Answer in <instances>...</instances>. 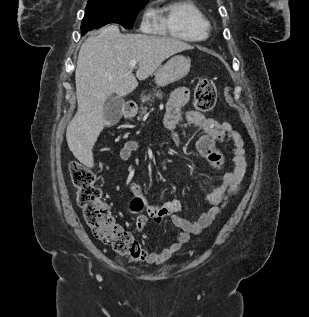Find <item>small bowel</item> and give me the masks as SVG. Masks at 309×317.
<instances>
[{
  "mask_svg": "<svg viewBox=\"0 0 309 317\" xmlns=\"http://www.w3.org/2000/svg\"><path fill=\"white\" fill-rule=\"evenodd\" d=\"M188 99L189 90L178 88L172 92L166 104L164 126L169 131L170 139L177 146L180 144V139L175 128L181 119V108L188 102ZM185 121L189 126L201 131V135L196 140V150L217 173L221 174V183L207 195L208 211L200 215L196 221H188L178 215L181 202L177 199L169 200L162 205L149 204L146 213L137 216L136 222L139 230L146 226L148 218L158 223L169 218L176 227L181 229L172 244L158 253L151 252L147 255L146 260L149 264L164 263L189 241L191 235L199 234L208 227L218 215L220 205L226 203L231 196L237 193L246 170L244 141L229 123L216 121L197 111L187 112ZM222 142L230 144L233 171L225 170L226 157L218 148V144ZM138 147V141H128L120 151L121 159L129 160ZM128 186L134 194L140 192L138 184L129 182Z\"/></svg>",
  "mask_w": 309,
  "mask_h": 317,
  "instance_id": "c3829d8e",
  "label": "small bowel"
}]
</instances>
